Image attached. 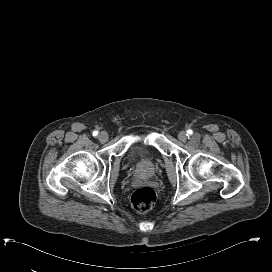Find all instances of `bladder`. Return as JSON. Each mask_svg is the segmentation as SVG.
<instances>
[{"label":"bladder","mask_w":272,"mask_h":272,"mask_svg":"<svg viewBox=\"0 0 272 272\" xmlns=\"http://www.w3.org/2000/svg\"><path fill=\"white\" fill-rule=\"evenodd\" d=\"M144 144H134L130 152V158L136 162L137 166L144 172H148L153 168V160L144 157Z\"/></svg>","instance_id":"obj_1"}]
</instances>
